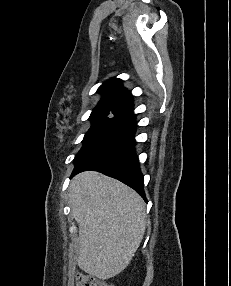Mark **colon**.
<instances>
[{"label": "colon", "instance_id": "colon-1", "mask_svg": "<svg viewBox=\"0 0 231 286\" xmlns=\"http://www.w3.org/2000/svg\"><path fill=\"white\" fill-rule=\"evenodd\" d=\"M76 284L77 286H114L85 274H79L77 276Z\"/></svg>", "mask_w": 231, "mask_h": 286}]
</instances>
